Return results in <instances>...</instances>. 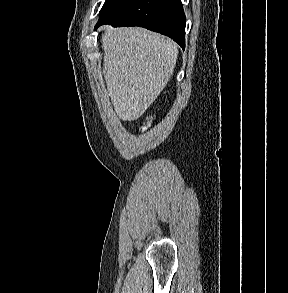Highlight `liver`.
Here are the masks:
<instances>
[{"mask_svg": "<svg viewBox=\"0 0 288 293\" xmlns=\"http://www.w3.org/2000/svg\"><path fill=\"white\" fill-rule=\"evenodd\" d=\"M103 74L120 119H138L169 82L178 45L140 27H103Z\"/></svg>", "mask_w": 288, "mask_h": 293, "instance_id": "6515ba94", "label": "liver"}]
</instances>
